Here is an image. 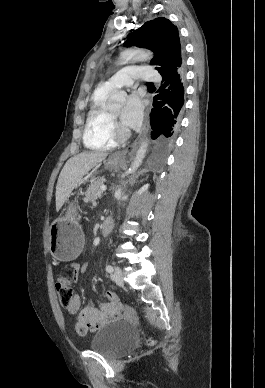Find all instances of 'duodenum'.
Instances as JSON below:
<instances>
[{
    "instance_id": "duodenum-1",
    "label": "duodenum",
    "mask_w": 265,
    "mask_h": 388,
    "mask_svg": "<svg viewBox=\"0 0 265 388\" xmlns=\"http://www.w3.org/2000/svg\"><path fill=\"white\" fill-rule=\"evenodd\" d=\"M112 227H113V219L110 217L105 218L102 221V224L100 227L102 235L104 236L108 235L111 232Z\"/></svg>"
}]
</instances>
